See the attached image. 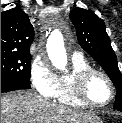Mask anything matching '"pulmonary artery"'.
Returning <instances> with one entry per match:
<instances>
[{"mask_svg": "<svg viewBox=\"0 0 122 123\" xmlns=\"http://www.w3.org/2000/svg\"><path fill=\"white\" fill-rule=\"evenodd\" d=\"M82 54L78 51L73 52L72 57H80Z\"/></svg>", "mask_w": 122, "mask_h": 123, "instance_id": "e3ab8cb5", "label": "pulmonary artery"}]
</instances>
